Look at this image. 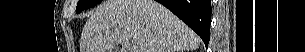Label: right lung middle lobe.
<instances>
[{
  "label": "right lung middle lobe",
  "instance_id": "obj_1",
  "mask_svg": "<svg viewBox=\"0 0 305 52\" xmlns=\"http://www.w3.org/2000/svg\"><path fill=\"white\" fill-rule=\"evenodd\" d=\"M101 1L102 0H79L76 7V13H80L87 8H91Z\"/></svg>",
  "mask_w": 305,
  "mask_h": 52
}]
</instances>
